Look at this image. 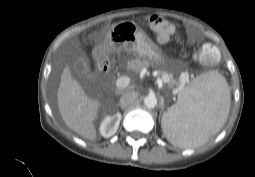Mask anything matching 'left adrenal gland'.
Instances as JSON below:
<instances>
[{
	"instance_id": "a2214340",
	"label": "left adrenal gland",
	"mask_w": 255,
	"mask_h": 177,
	"mask_svg": "<svg viewBox=\"0 0 255 177\" xmlns=\"http://www.w3.org/2000/svg\"><path fill=\"white\" fill-rule=\"evenodd\" d=\"M163 109H164V104L162 105V110H161V112L163 111Z\"/></svg>"
}]
</instances>
